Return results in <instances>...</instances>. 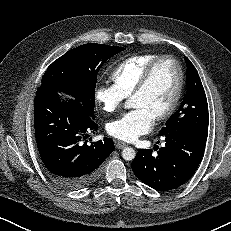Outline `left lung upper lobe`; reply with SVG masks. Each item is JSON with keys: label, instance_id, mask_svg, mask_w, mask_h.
<instances>
[{"label": "left lung upper lobe", "instance_id": "5c2ea615", "mask_svg": "<svg viewBox=\"0 0 231 231\" xmlns=\"http://www.w3.org/2000/svg\"><path fill=\"white\" fill-rule=\"evenodd\" d=\"M187 65V91L180 108L166 122L159 135L178 130L208 133V103L196 68L184 57Z\"/></svg>", "mask_w": 231, "mask_h": 231}]
</instances>
